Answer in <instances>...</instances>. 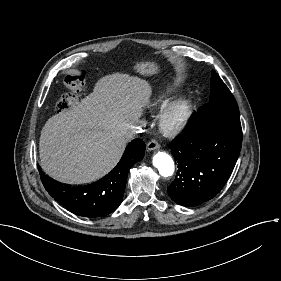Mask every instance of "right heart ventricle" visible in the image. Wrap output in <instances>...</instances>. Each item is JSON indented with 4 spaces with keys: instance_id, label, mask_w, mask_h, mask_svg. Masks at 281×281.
<instances>
[{
    "instance_id": "e07e8e85",
    "label": "right heart ventricle",
    "mask_w": 281,
    "mask_h": 281,
    "mask_svg": "<svg viewBox=\"0 0 281 281\" xmlns=\"http://www.w3.org/2000/svg\"><path fill=\"white\" fill-rule=\"evenodd\" d=\"M169 98V94L166 92H161L150 99H147L144 104L150 108H158L163 102Z\"/></svg>"
}]
</instances>
